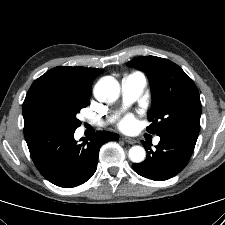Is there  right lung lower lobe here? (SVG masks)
<instances>
[{"label": "right lung lower lobe", "instance_id": "obj_1", "mask_svg": "<svg viewBox=\"0 0 225 225\" xmlns=\"http://www.w3.org/2000/svg\"><path fill=\"white\" fill-rule=\"evenodd\" d=\"M74 132L50 125L24 127L35 166L48 181L60 187H75L89 180L96 171L100 147L119 139L115 133L98 131L78 144Z\"/></svg>", "mask_w": 225, "mask_h": 225}]
</instances>
